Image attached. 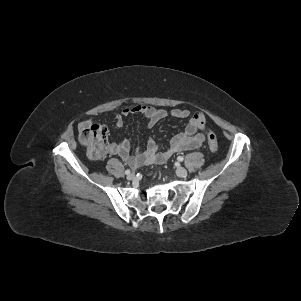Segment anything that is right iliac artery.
I'll use <instances>...</instances> for the list:
<instances>
[{
    "label": "right iliac artery",
    "instance_id": "obj_1",
    "mask_svg": "<svg viewBox=\"0 0 301 301\" xmlns=\"http://www.w3.org/2000/svg\"><path fill=\"white\" fill-rule=\"evenodd\" d=\"M125 174H126V175H129V174H130V170L127 169V170L125 171Z\"/></svg>",
    "mask_w": 301,
    "mask_h": 301
}]
</instances>
